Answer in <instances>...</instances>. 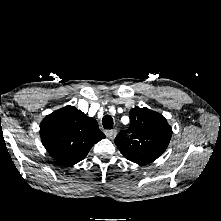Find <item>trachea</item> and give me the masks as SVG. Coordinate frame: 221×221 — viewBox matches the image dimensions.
Listing matches in <instances>:
<instances>
[{"instance_id":"trachea-1","label":"trachea","mask_w":221,"mask_h":221,"mask_svg":"<svg viewBox=\"0 0 221 221\" xmlns=\"http://www.w3.org/2000/svg\"><path fill=\"white\" fill-rule=\"evenodd\" d=\"M102 124L105 129L113 128V118L110 115H105L102 119Z\"/></svg>"}]
</instances>
